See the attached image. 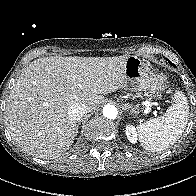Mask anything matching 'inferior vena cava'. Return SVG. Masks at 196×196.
I'll return each instance as SVG.
<instances>
[{
  "label": "inferior vena cava",
  "instance_id": "inferior-vena-cava-1",
  "mask_svg": "<svg viewBox=\"0 0 196 196\" xmlns=\"http://www.w3.org/2000/svg\"><path fill=\"white\" fill-rule=\"evenodd\" d=\"M88 108L86 105L84 104H79V103H75L72 104L69 108H68V115L69 117H71L74 120L79 121L85 113H87Z\"/></svg>",
  "mask_w": 196,
  "mask_h": 196
}]
</instances>
